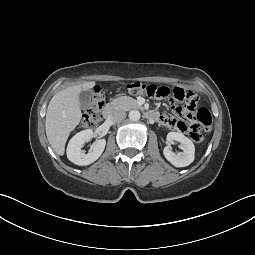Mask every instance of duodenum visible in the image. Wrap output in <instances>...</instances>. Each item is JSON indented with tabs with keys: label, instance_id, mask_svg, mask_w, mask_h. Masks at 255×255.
I'll list each match as a JSON object with an SVG mask.
<instances>
[{
	"label": "duodenum",
	"instance_id": "obj_1",
	"mask_svg": "<svg viewBox=\"0 0 255 255\" xmlns=\"http://www.w3.org/2000/svg\"><path fill=\"white\" fill-rule=\"evenodd\" d=\"M116 113V109L109 105L107 107H105L104 111H103V116L106 120H111L113 119V117L115 116ZM147 118L151 119V120H157L158 119V113L154 112V111H148L146 113Z\"/></svg>",
	"mask_w": 255,
	"mask_h": 255
}]
</instances>
